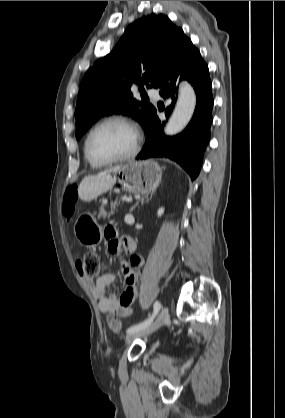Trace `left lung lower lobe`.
Segmentation results:
<instances>
[{
    "label": "left lung lower lobe",
    "instance_id": "obj_1",
    "mask_svg": "<svg viewBox=\"0 0 285 418\" xmlns=\"http://www.w3.org/2000/svg\"><path fill=\"white\" fill-rule=\"evenodd\" d=\"M178 77L188 80L196 93V108L187 128L179 135L166 137L163 134L164 121H160L156 112L150 123L146 143L137 156V160L154 157H165L179 163L194 180L199 172L203 152L210 140L212 123V84L207 64L199 50L188 37H183L177 49L165 68L160 82V95L164 100L171 101L165 110L168 118L175 105V93Z\"/></svg>",
    "mask_w": 285,
    "mask_h": 418
}]
</instances>
